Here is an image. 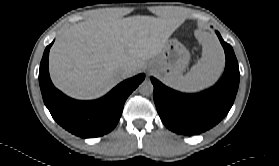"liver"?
Listing matches in <instances>:
<instances>
[{"instance_id":"6515ba94","label":"liver","mask_w":279,"mask_h":166,"mask_svg":"<svg viewBox=\"0 0 279 166\" xmlns=\"http://www.w3.org/2000/svg\"><path fill=\"white\" fill-rule=\"evenodd\" d=\"M181 23L168 13L164 18L107 15L75 24L51 48V79L73 98H98L124 79L123 67H131L128 77L140 72Z\"/></svg>"}]
</instances>
